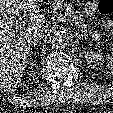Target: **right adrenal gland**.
<instances>
[{"instance_id":"2a0ac1e0","label":"right adrenal gland","mask_w":113,"mask_h":113,"mask_svg":"<svg viewBox=\"0 0 113 113\" xmlns=\"http://www.w3.org/2000/svg\"><path fill=\"white\" fill-rule=\"evenodd\" d=\"M40 40H41V37L33 38L32 46H36L38 44V42H40Z\"/></svg>"}]
</instances>
